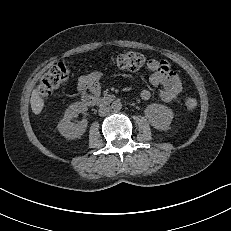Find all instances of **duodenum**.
Masks as SVG:
<instances>
[{
	"label": "duodenum",
	"instance_id": "410a0bca",
	"mask_svg": "<svg viewBox=\"0 0 231 231\" xmlns=\"http://www.w3.org/2000/svg\"><path fill=\"white\" fill-rule=\"evenodd\" d=\"M115 100L114 95L96 96L92 94H84L82 96V102L86 106H104L108 105Z\"/></svg>",
	"mask_w": 231,
	"mask_h": 231
}]
</instances>
